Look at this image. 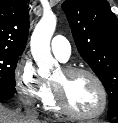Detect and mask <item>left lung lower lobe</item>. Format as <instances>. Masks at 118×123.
<instances>
[{
    "mask_svg": "<svg viewBox=\"0 0 118 123\" xmlns=\"http://www.w3.org/2000/svg\"><path fill=\"white\" fill-rule=\"evenodd\" d=\"M113 123H118V117L117 118H112Z\"/></svg>",
    "mask_w": 118,
    "mask_h": 123,
    "instance_id": "obj_1",
    "label": "left lung lower lobe"
}]
</instances>
